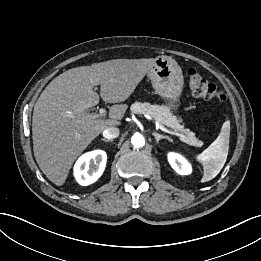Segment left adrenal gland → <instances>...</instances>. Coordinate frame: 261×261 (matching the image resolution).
Segmentation results:
<instances>
[{
  "label": "left adrenal gland",
  "mask_w": 261,
  "mask_h": 261,
  "mask_svg": "<svg viewBox=\"0 0 261 261\" xmlns=\"http://www.w3.org/2000/svg\"><path fill=\"white\" fill-rule=\"evenodd\" d=\"M153 136L155 137L157 143H159V141L162 140V139H167L168 141H171L169 136H164V135H161V134H159L157 132H153Z\"/></svg>",
  "instance_id": "a2214340"
}]
</instances>
